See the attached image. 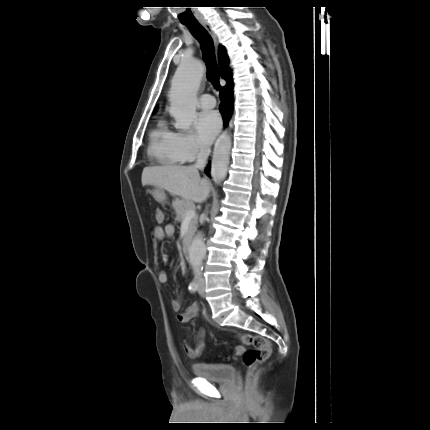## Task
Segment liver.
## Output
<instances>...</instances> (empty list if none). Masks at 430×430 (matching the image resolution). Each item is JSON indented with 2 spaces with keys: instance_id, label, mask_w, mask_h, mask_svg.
<instances>
[{
  "instance_id": "obj_1",
  "label": "liver",
  "mask_w": 430,
  "mask_h": 430,
  "mask_svg": "<svg viewBox=\"0 0 430 430\" xmlns=\"http://www.w3.org/2000/svg\"><path fill=\"white\" fill-rule=\"evenodd\" d=\"M142 185L151 184L180 196L185 201L202 203L210 194V182L201 179L192 166L164 165L145 167L141 177Z\"/></svg>"
}]
</instances>
